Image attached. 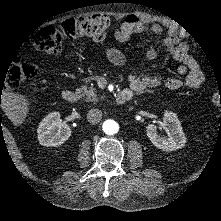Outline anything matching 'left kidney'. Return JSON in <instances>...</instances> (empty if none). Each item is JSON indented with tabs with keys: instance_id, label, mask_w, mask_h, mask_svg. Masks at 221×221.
Wrapping results in <instances>:
<instances>
[{
	"instance_id": "left-kidney-1",
	"label": "left kidney",
	"mask_w": 221,
	"mask_h": 221,
	"mask_svg": "<svg viewBox=\"0 0 221 221\" xmlns=\"http://www.w3.org/2000/svg\"><path fill=\"white\" fill-rule=\"evenodd\" d=\"M163 126L166 130V134L163 136H159L154 124L146 127L148 138L157 148L164 151H173L185 146L186 135L174 110L165 109L163 111Z\"/></svg>"
}]
</instances>
